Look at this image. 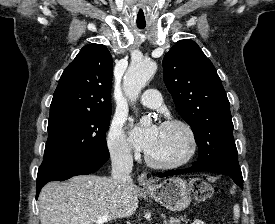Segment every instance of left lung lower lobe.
Wrapping results in <instances>:
<instances>
[{
  "label": "left lung lower lobe",
  "mask_w": 275,
  "mask_h": 224,
  "mask_svg": "<svg viewBox=\"0 0 275 224\" xmlns=\"http://www.w3.org/2000/svg\"><path fill=\"white\" fill-rule=\"evenodd\" d=\"M207 169L208 168L206 167V165L204 163H197L196 162L190 168L166 171L165 173L161 174L159 177L179 175V174L195 172V171H210V170H207ZM212 172H218L220 174L230 176L234 180V182L243 189V178H242L241 170H237V171L219 170V171H212Z\"/></svg>",
  "instance_id": "obj_1"
}]
</instances>
